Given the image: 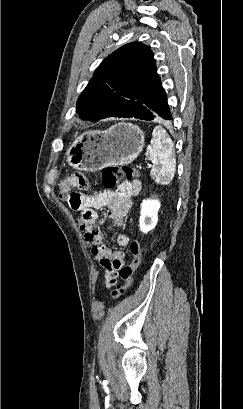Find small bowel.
Instances as JSON below:
<instances>
[{
  "instance_id": "c3829d8e",
  "label": "small bowel",
  "mask_w": 243,
  "mask_h": 409,
  "mask_svg": "<svg viewBox=\"0 0 243 409\" xmlns=\"http://www.w3.org/2000/svg\"><path fill=\"white\" fill-rule=\"evenodd\" d=\"M141 191V182H123L115 190L97 192L91 195L76 193L79 205L72 207L80 211L78 223L84 233L86 242L91 246V253L103 268L106 288L114 286L119 280V271L126 265V254L123 250H112L105 243V235L98 227L97 210L106 208V216L116 226L123 225L124 217L132 205V198ZM117 242L125 247L129 238L123 233L117 235Z\"/></svg>"
}]
</instances>
